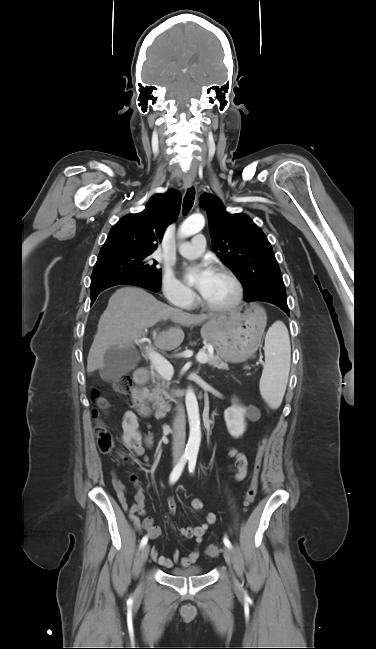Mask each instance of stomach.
<instances>
[{"label": "stomach", "mask_w": 376, "mask_h": 649, "mask_svg": "<svg viewBox=\"0 0 376 649\" xmlns=\"http://www.w3.org/2000/svg\"><path fill=\"white\" fill-rule=\"evenodd\" d=\"M265 326L264 310L254 305L243 313L237 310L228 316L210 319L203 325L201 336L215 348L220 358L241 362L257 351Z\"/></svg>", "instance_id": "stomach-1"}]
</instances>
